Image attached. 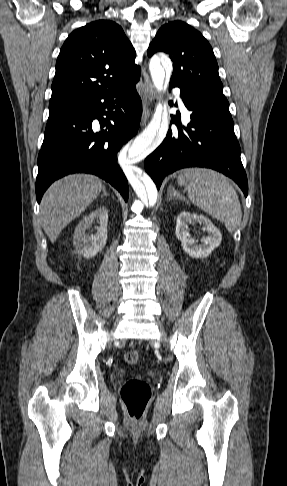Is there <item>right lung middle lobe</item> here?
Returning <instances> with one entry per match:
<instances>
[{
    "label": "right lung middle lobe",
    "instance_id": "right-lung-middle-lobe-1",
    "mask_svg": "<svg viewBox=\"0 0 287 486\" xmlns=\"http://www.w3.org/2000/svg\"><path fill=\"white\" fill-rule=\"evenodd\" d=\"M62 112H64V111H50V112H49V117H50V116L57 115V114H60V113H62Z\"/></svg>",
    "mask_w": 287,
    "mask_h": 486
}]
</instances>
